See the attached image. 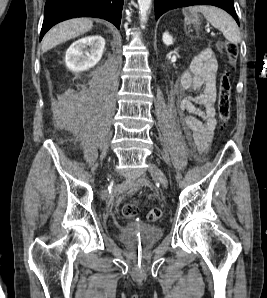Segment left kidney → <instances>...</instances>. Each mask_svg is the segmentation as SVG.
Listing matches in <instances>:
<instances>
[{
    "instance_id": "obj_1",
    "label": "left kidney",
    "mask_w": 267,
    "mask_h": 298,
    "mask_svg": "<svg viewBox=\"0 0 267 298\" xmlns=\"http://www.w3.org/2000/svg\"><path fill=\"white\" fill-rule=\"evenodd\" d=\"M163 43L167 46L173 44V38L168 32L163 34Z\"/></svg>"
}]
</instances>
